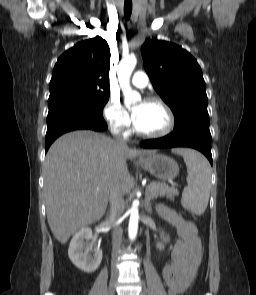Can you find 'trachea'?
I'll use <instances>...</instances> for the list:
<instances>
[{
	"label": "trachea",
	"instance_id": "1",
	"mask_svg": "<svg viewBox=\"0 0 256 295\" xmlns=\"http://www.w3.org/2000/svg\"><path fill=\"white\" fill-rule=\"evenodd\" d=\"M131 13H132V0H125L124 15L127 20L130 18Z\"/></svg>",
	"mask_w": 256,
	"mask_h": 295
}]
</instances>
